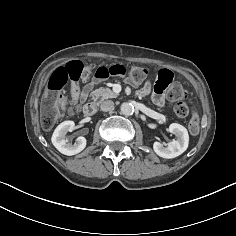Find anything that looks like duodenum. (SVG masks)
Wrapping results in <instances>:
<instances>
[{"mask_svg":"<svg viewBox=\"0 0 236 236\" xmlns=\"http://www.w3.org/2000/svg\"><path fill=\"white\" fill-rule=\"evenodd\" d=\"M96 106L94 103H87L84 106L83 114L86 118H92L95 115Z\"/></svg>","mask_w":236,"mask_h":236,"instance_id":"410a0bca","label":"duodenum"}]
</instances>
